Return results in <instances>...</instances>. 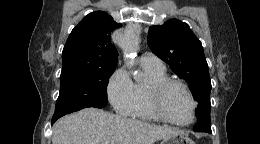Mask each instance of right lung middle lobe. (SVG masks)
I'll return each instance as SVG.
<instances>
[{
	"label": "right lung middle lobe",
	"instance_id": "1",
	"mask_svg": "<svg viewBox=\"0 0 260 144\" xmlns=\"http://www.w3.org/2000/svg\"><path fill=\"white\" fill-rule=\"evenodd\" d=\"M115 68L62 71L60 93L52 119L86 107L103 108L107 105V85Z\"/></svg>",
	"mask_w": 260,
	"mask_h": 144
}]
</instances>
